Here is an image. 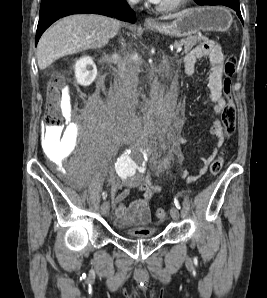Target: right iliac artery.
Instances as JSON below:
<instances>
[{
  "label": "right iliac artery",
  "mask_w": 267,
  "mask_h": 298,
  "mask_svg": "<svg viewBox=\"0 0 267 298\" xmlns=\"http://www.w3.org/2000/svg\"><path fill=\"white\" fill-rule=\"evenodd\" d=\"M129 153H130V150L127 149V150L121 155V157L118 159V162L123 164L124 162L128 161V160H129V157H128ZM106 197H107V193H106V192H103V193H102V198H103V199H106Z\"/></svg>",
  "instance_id": "82829eb1"
}]
</instances>
